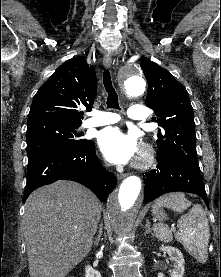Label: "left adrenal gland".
<instances>
[{"mask_svg":"<svg viewBox=\"0 0 221 277\" xmlns=\"http://www.w3.org/2000/svg\"><path fill=\"white\" fill-rule=\"evenodd\" d=\"M144 228H145V234L152 233L151 228H150L149 220H146V224H145ZM152 235H153V233H152Z\"/></svg>","mask_w":221,"mask_h":277,"instance_id":"obj_1","label":"left adrenal gland"}]
</instances>
